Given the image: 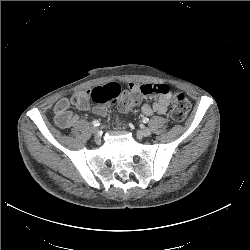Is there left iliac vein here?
Here are the masks:
<instances>
[{"mask_svg": "<svg viewBox=\"0 0 250 250\" xmlns=\"http://www.w3.org/2000/svg\"><path fill=\"white\" fill-rule=\"evenodd\" d=\"M140 133L144 137H149L152 134V131L149 128H144L140 131Z\"/></svg>", "mask_w": 250, "mask_h": 250, "instance_id": "obj_1", "label": "left iliac vein"}]
</instances>
